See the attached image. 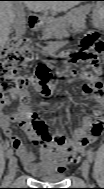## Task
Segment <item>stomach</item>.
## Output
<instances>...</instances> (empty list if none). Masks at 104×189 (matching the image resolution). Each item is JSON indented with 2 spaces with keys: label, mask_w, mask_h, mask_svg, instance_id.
<instances>
[{
  "label": "stomach",
  "mask_w": 104,
  "mask_h": 189,
  "mask_svg": "<svg viewBox=\"0 0 104 189\" xmlns=\"http://www.w3.org/2000/svg\"><path fill=\"white\" fill-rule=\"evenodd\" d=\"M102 4L99 2L96 4V8L94 10V13H93V18H94V21H96L98 18H101L102 16V12L100 9H102Z\"/></svg>",
  "instance_id": "stomach-1"
}]
</instances>
